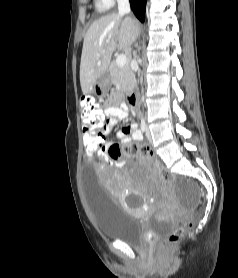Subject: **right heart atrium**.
Here are the masks:
<instances>
[{
  "instance_id": "right-heart-atrium-1",
  "label": "right heart atrium",
  "mask_w": 238,
  "mask_h": 278,
  "mask_svg": "<svg viewBox=\"0 0 238 278\" xmlns=\"http://www.w3.org/2000/svg\"><path fill=\"white\" fill-rule=\"evenodd\" d=\"M105 1L110 7L118 0H103Z\"/></svg>"
}]
</instances>
